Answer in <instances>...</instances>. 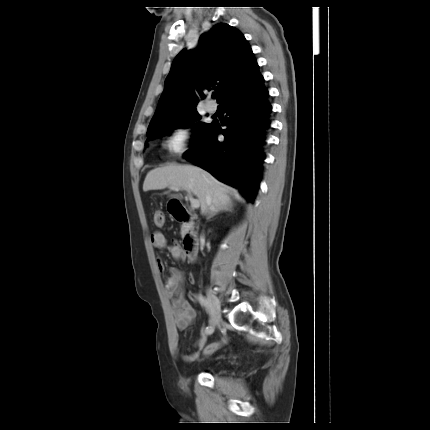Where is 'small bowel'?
Here are the masks:
<instances>
[{
	"mask_svg": "<svg viewBox=\"0 0 430 430\" xmlns=\"http://www.w3.org/2000/svg\"><path fill=\"white\" fill-rule=\"evenodd\" d=\"M151 242L157 249L167 250L176 260H181L185 257L182 247L177 242L168 244L164 234L160 231H155L151 234ZM157 267L159 270L164 269V264L161 260L157 261ZM168 272L169 275L165 281L166 293L171 302L174 323L178 329L183 330L189 327L196 317L195 308L184 296L183 285L185 281L189 284H193L195 282V278L192 273L189 272L185 275L176 267H170ZM207 337L208 334L206 329H202L197 341L195 342V351L183 356V359L188 362L197 360L200 353H204L208 346H206Z\"/></svg>",
	"mask_w": 430,
	"mask_h": 430,
	"instance_id": "1",
	"label": "small bowel"
}]
</instances>
